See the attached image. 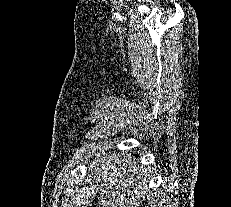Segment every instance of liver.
Segmentation results:
<instances>
[{
	"label": "liver",
	"mask_w": 231,
	"mask_h": 207,
	"mask_svg": "<svg viewBox=\"0 0 231 207\" xmlns=\"http://www.w3.org/2000/svg\"><path fill=\"white\" fill-rule=\"evenodd\" d=\"M91 174L100 185L98 203L102 207H138L140 198L149 191L148 173L127 156L97 153Z\"/></svg>",
	"instance_id": "1"
}]
</instances>
